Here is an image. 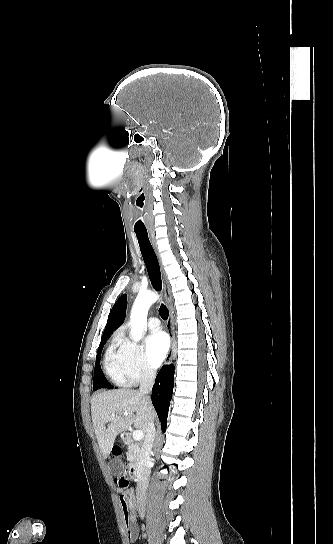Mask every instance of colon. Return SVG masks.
<instances>
[{"mask_svg":"<svg viewBox=\"0 0 333 544\" xmlns=\"http://www.w3.org/2000/svg\"><path fill=\"white\" fill-rule=\"evenodd\" d=\"M122 455V450L120 447L118 446H115L113 447L112 449V456L115 457V458H118ZM115 483L117 484V486L121 489H125L129 486V480L128 478L125 476V475H118L116 478H115Z\"/></svg>","mask_w":333,"mask_h":544,"instance_id":"1","label":"colon"}]
</instances>
